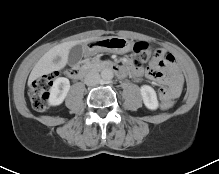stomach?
<instances>
[{"instance_id":"0dacf381","label":"stomach","mask_w":219,"mask_h":174,"mask_svg":"<svg viewBox=\"0 0 219 174\" xmlns=\"http://www.w3.org/2000/svg\"><path fill=\"white\" fill-rule=\"evenodd\" d=\"M85 48L89 55L100 52L124 54L132 49V42L123 37L111 36L88 41Z\"/></svg>"}]
</instances>
